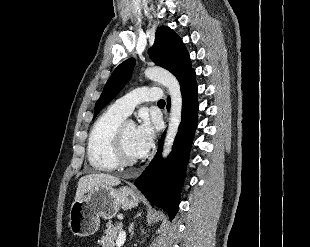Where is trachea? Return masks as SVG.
Here are the masks:
<instances>
[{
    "mask_svg": "<svg viewBox=\"0 0 310 247\" xmlns=\"http://www.w3.org/2000/svg\"><path fill=\"white\" fill-rule=\"evenodd\" d=\"M158 105H165V101L164 100L158 101Z\"/></svg>",
    "mask_w": 310,
    "mask_h": 247,
    "instance_id": "trachea-1",
    "label": "trachea"
}]
</instances>
